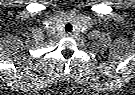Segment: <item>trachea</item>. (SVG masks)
<instances>
[{"mask_svg":"<svg viewBox=\"0 0 135 95\" xmlns=\"http://www.w3.org/2000/svg\"><path fill=\"white\" fill-rule=\"evenodd\" d=\"M65 31L66 32H71L72 31V25L70 23L65 25Z\"/></svg>","mask_w":135,"mask_h":95,"instance_id":"3493384b","label":"trachea"}]
</instances>
